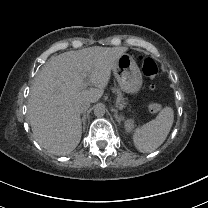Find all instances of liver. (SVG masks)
I'll return each instance as SVG.
<instances>
[{"instance_id":"liver-1","label":"liver","mask_w":208,"mask_h":208,"mask_svg":"<svg viewBox=\"0 0 208 208\" xmlns=\"http://www.w3.org/2000/svg\"><path fill=\"white\" fill-rule=\"evenodd\" d=\"M127 51L94 46L53 56L42 67L30 91L27 116L43 148L65 155L78 146L82 136L78 101L95 103L102 98L116 63ZM86 79L95 88L83 89Z\"/></svg>"}]
</instances>
